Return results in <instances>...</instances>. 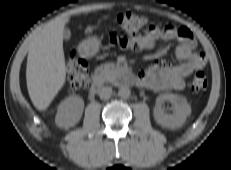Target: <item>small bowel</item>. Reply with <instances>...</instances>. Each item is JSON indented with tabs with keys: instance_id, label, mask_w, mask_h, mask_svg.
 <instances>
[{
	"instance_id": "c3829d8e",
	"label": "small bowel",
	"mask_w": 231,
	"mask_h": 170,
	"mask_svg": "<svg viewBox=\"0 0 231 170\" xmlns=\"http://www.w3.org/2000/svg\"><path fill=\"white\" fill-rule=\"evenodd\" d=\"M105 40L122 49L136 51L152 49L159 40L178 42L175 52L179 60L177 65L169 66L156 61L137 77L139 85L155 91L182 90L185 78L205 65L204 53L197 47L192 32L185 26L169 24L161 28L151 25L136 36L119 35L111 31L105 35Z\"/></svg>"
}]
</instances>
